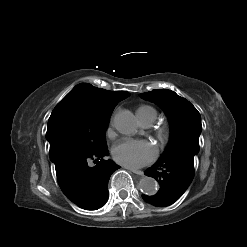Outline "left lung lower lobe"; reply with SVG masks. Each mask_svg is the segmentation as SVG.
Here are the masks:
<instances>
[{
	"label": "left lung lower lobe",
	"instance_id": "left-lung-lower-lobe-1",
	"mask_svg": "<svg viewBox=\"0 0 247 247\" xmlns=\"http://www.w3.org/2000/svg\"><path fill=\"white\" fill-rule=\"evenodd\" d=\"M194 156L177 152L161 157L145 171V175L155 178L161 188L153 196L143 194V199L154 206H168L176 202L193 180Z\"/></svg>",
	"mask_w": 247,
	"mask_h": 247
}]
</instances>
